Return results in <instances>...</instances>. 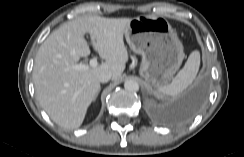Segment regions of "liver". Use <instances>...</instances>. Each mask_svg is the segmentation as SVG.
<instances>
[{
  "mask_svg": "<svg viewBox=\"0 0 244 157\" xmlns=\"http://www.w3.org/2000/svg\"><path fill=\"white\" fill-rule=\"evenodd\" d=\"M130 18L86 16L62 24L41 44L35 56L33 83L36 98L59 126H81L87 109L100 91L98 76L104 71L113 80L122 75L128 61L123 36ZM89 33L94 49L105 60L87 70H75L80 58L90 55L84 38Z\"/></svg>",
  "mask_w": 244,
  "mask_h": 157,
  "instance_id": "1",
  "label": "liver"
}]
</instances>
